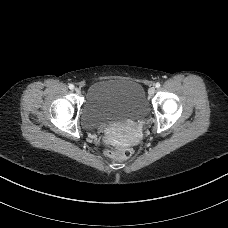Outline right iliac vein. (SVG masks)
<instances>
[{
    "mask_svg": "<svg viewBox=\"0 0 228 228\" xmlns=\"http://www.w3.org/2000/svg\"><path fill=\"white\" fill-rule=\"evenodd\" d=\"M75 91L77 94H80V92H81L79 88H75Z\"/></svg>",
    "mask_w": 228,
    "mask_h": 228,
    "instance_id": "63e3f726",
    "label": "right iliac vein"
}]
</instances>
